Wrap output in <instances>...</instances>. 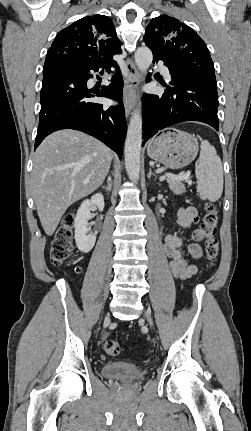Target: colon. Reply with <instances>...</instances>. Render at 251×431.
<instances>
[{
    "instance_id": "colon-1",
    "label": "colon",
    "mask_w": 251,
    "mask_h": 431,
    "mask_svg": "<svg viewBox=\"0 0 251 431\" xmlns=\"http://www.w3.org/2000/svg\"><path fill=\"white\" fill-rule=\"evenodd\" d=\"M204 210L201 231L206 238V258L213 265L219 256V241L216 237L219 215L216 206L211 202L205 204ZM74 221V214L67 213L55 232L50 246V260L55 266L63 264L72 254ZM104 350L108 355L116 356L120 353L121 348L117 341L107 340Z\"/></svg>"
}]
</instances>
